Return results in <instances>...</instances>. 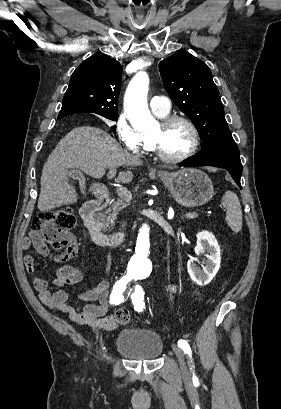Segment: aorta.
<instances>
[{"mask_svg":"<svg viewBox=\"0 0 281 409\" xmlns=\"http://www.w3.org/2000/svg\"><path fill=\"white\" fill-rule=\"evenodd\" d=\"M149 79L146 73L140 72L128 89L125 99V111L132 126L139 132H149L156 126L147 104ZM147 231V227L144 226Z\"/></svg>","mask_w":281,"mask_h":409,"instance_id":"762f6f07","label":"aorta"}]
</instances>
